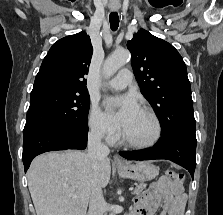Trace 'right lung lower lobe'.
I'll use <instances>...</instances> for the list:
<instances>
[{"mask_svg": "<svg viewBox=\"0 0 223 215\" xmlns=\"http://www.w3.org/2000/svg\"><path fill=\"white\" fill-rule=\"evenodd\" d=\"M87 133L75 129L51 128L25 134L22 155L25 172L33 158L44 152L85 149L87 146Z\"/></svg>", "mask_w": 223, "mask_h": 215, "instance_id": "right-lung-lower-lobe-1", "label": "right lung lower lobe"}]
</instances>
